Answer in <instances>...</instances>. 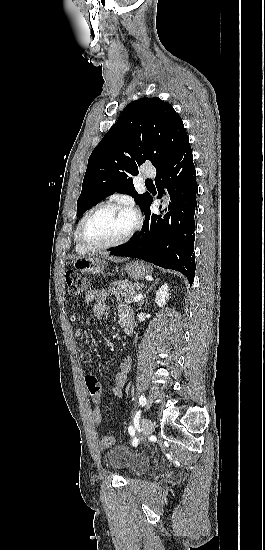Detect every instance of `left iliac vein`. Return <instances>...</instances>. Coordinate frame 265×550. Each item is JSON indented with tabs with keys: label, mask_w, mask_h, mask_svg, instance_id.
I'll list each match as a JSON object with an SVG mask.
<instances>
[{
	"label": "left iliac vein",
	"mask_w": 265,
	"mask_h": 550,
	"mask_svg": "<svg viewBox=\"0 0 265 550\" xmlns=\"http://www.w3.org/2000/svg\"><path fill=\"white\" fill-rule=\"evenodd\" d=\"M153 424L150 419L143 418L141 421V430L144 433V435L148 436L152 433Z\"/></svg>",
	"instance_id": "obj_1"
}]
</instances>
